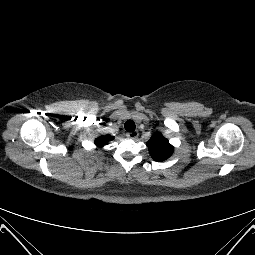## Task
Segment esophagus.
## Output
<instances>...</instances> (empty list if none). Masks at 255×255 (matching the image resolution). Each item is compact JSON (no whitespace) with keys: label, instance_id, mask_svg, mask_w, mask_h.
<instances>
[{"label":"esophagus","instance_id":"34e87169","mask_svg":"<svg viewBox=\"0 0 255 255\" xmlns=\"http://www.w3.org/2000/svg\"><path fill=\"white\" fill-rule=\"evenodd\" d=\"M139 133L137 131L134 132H128L126 136L130 139H136L138 137Z\"/></svg>","mask_w":255,"mask_h":255}]
</instances>
